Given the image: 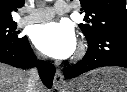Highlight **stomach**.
<instances>
[{
    "mask_svg": "<svg viewBox=\"0 0 127 92\" xmlns=\"http://www.w3.org/2000/svg\"><path fill=\"white\" fill-rule=\"evenodd\" d=\"M61 92H127V71L99 68L74 79Z\"/></svg>",
    "mask_w": 127,
    "mask_h": 92,
    "instance_id": "0dacf381",
    "label": "stomach"
}]
</instances>
